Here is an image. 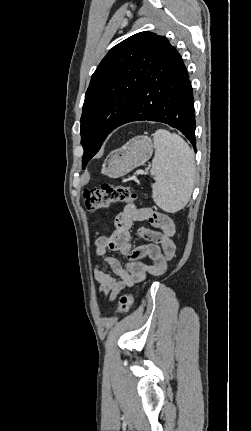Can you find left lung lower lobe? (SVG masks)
Returning a JSON list of instances; mask_svg holds the SVG:
<instances>
[{
    "label": "left lung lower lobe",
    "mask_w": 251,
    "mask_h": 431,
    "mask_svg": "<svg viewBox=\"0 0 251 431\" xmlns=\"http://www.w3.org/2000/svg\"><path fill=\"white\" fill-rule=\"evenodd\" d=\"M141 120L162 122L178 129L196 151L191 82L180 54L168 40L118 126ZM96 131L101 132L102 127L98 126Z\"/></svg>",
    "instance_id": "obj_1"
}]
</instances>
